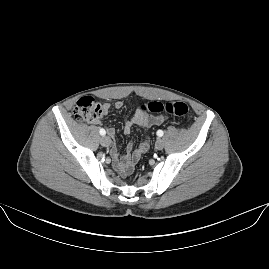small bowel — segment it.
Listing matches in <instances>:
<instances>
[{"mask_svg": "<svg viewBox=\"0 0 269 269\" xmlns=\"http://www.w3.org/2000/svg\"><path fill=\"white\" fill-rule=\"evenodd\" d=\"M121 106H122L121 102H116L114 104L105 103L103 105V113L107 114L111 107L120 108ZM166 119L167 117L164 115L150 116L147 113L139 112L126 121L123 131L125 134H129L131 132L133 125L146 128L152 125H160L163 122H165ZM94 123L99 124L100 122L95 121ZM107 133L109 137H114L115 135L114 128L107 127ZM132 149L133 145L131 143L128 144L126 154L121 159L118 158L117 153L115 152L113 153L114 164L123 173H125L124 167L126 164L133 163L135 160H138L143 154H145L148 151L149 148H147L144 145V142H142L140 146L131 155Z\"/></svg>", "mask_w": 269, "mask_h": 269, "instance_id": "obj_1", "label": "small bowel"}]
</instances>
